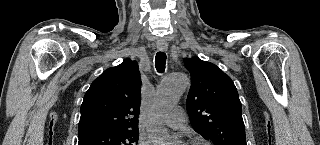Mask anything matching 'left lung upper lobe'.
Here are the masks:
<instances>
[{
	"instance_id": "1",
	"label": "left lung upper lobe",
	"mask_w": 320,
	"mask_h": 145,
	"mask_svg": "<svg viewBox=\"0 0 320 145\" xmlns=\"http://www.w3.org/2000/svg\"><path fill=\"white\" fill-rule=\"evenodd\" d=\"M192 84L186 107L194 130L215 145H246L242 107L231 78L210 62L186 59Z\"/></svg>"
}]
</instances>
